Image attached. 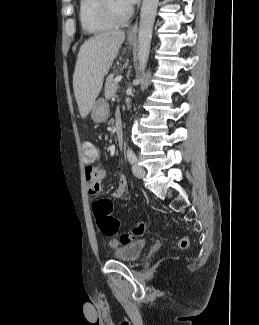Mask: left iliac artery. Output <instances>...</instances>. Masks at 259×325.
<instances>
[{
	"mask_svg": "<svg viewBox=\"0 0 259 325\" xmlns=\"http://www.w3.org/2000/svg\"><path fill=\"white\" fill-rule=\"evenodd\" d=\"M126 155H127V159H128V161H129L130 163H132L133 160H137V157H136L134 151H133L131 148H128V149H127V153H126Z\"/></svg>",
	"mask_w": 259,
	"mask_h": 325,
	"instance_id": "left-iliac-artery-1",
	"label": "left iliac artery"
}]
</instances>
